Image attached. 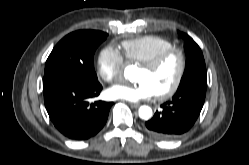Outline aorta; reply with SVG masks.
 Wrapping results in <instances>:
<instances>
[{
  "label": "aorta",
  "instance_id": "obj_1",
  "mask_svg": "<svg viewBox=\"0 0 249 165\" xmlns=\"http://www.w3.org/2000/svg\"><path fill=\"white\" fill-rule=\"evenodd\" d=\"M132 72V67H127L124 71V76L128 78ZM139 117L148 120L152 117V109L149 106H141L139 108Z\"/></svg>",
  "mask_w": 249,
  "mask_h": 165
}]
</instances>
